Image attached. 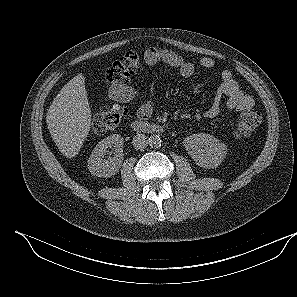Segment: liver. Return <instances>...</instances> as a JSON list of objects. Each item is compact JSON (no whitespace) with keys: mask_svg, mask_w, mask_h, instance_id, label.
Returning a JSON list of instances; mask_svg holds the SVG:
<instances>
[{"mask_svg":"<svg viewBox=\"0 0 297 297\" xmlns=\"http://www.w3.org/2000/svg\"><path fill=\"white\" fill-rule=\"evenodd\" d=\"M91 119L85 78L80 73L57 94L46 116L51 137L67 158L79 153L89 134Z\"/></svg>","mask_w":297,"mask_h":297,"instance_id":"obj_1","label":"liver"}]
</instances>
